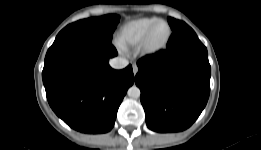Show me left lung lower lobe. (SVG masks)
Segmentation results:
<instances>
[{
	"label": "left lung lower lobe",
	"mask_w": 261,
	"mask_h": 150,
	"mask_svg": "<svg viewBox=\"0 0 261 150\" xmlns=\"http://www.w3.org/2000/svg\"><path fill=\"white\" fill-rule=\"evenodd\" d=\"M136 85L147 126L178 132L199 117L210 94L211 67L206 47L188 26L173 31L165 50L142 57Z\"/></svg>",
	"instance_id": "obj_1"
}]
</instances>
